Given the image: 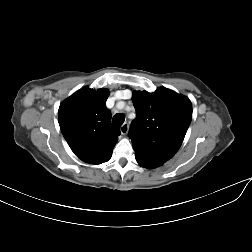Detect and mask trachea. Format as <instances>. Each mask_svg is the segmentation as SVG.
<instances>
[{"label": "trachea", "instance_id": "3493384b", "mask_svg": "<svg viewBox=\"0 0 252 252\" xmlns=\"http://www.w3.org/2000/svg\"><path fill=\"white\" fill-rule=\"evenodd\" d=\"M125 121V117L121 113H117L113 116L112 122L118 126H121Z\"/></svg>", "mask_w": 252, "mask_h": 252}]
</instances>
